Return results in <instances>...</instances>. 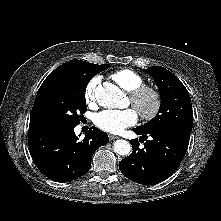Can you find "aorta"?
I'll use <instances>...</instances> for the list:
<instances>
[{
    "label": "aorta",
    "mask_w": 221,
    "mask_h": 221,
    "mask_svg": "<svg viewBox=\"0 0 221 221\" xmlns=\"http://www.w3.org/2000/svg\"><path fill=\"white\" fill-rule=\"evenodd\" d=\"M95 97L100 106L104 108H117L121 105L124 94L117 86L106 83L97 88ZM113 150L118 155L126 156L131 152V145L128 141L119 139L114 142Z\"/></svg>",
    "instance_id": "obj_1"
}]
</instances>
